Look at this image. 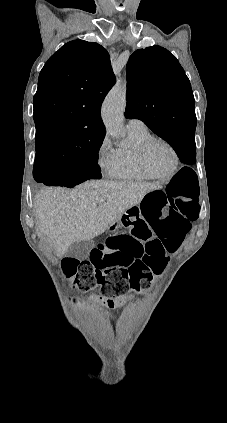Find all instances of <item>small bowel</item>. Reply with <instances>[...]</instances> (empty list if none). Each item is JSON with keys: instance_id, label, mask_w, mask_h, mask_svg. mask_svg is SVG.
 Segmentation results:
<instances>
[{"instance_id": "obj_1", "label": "small bowel", "mask_w": 227, "mask_h": 423, "mask_svg": "<svg viewBox=\"0 0 227 423\" xmlns=\"http://www.w3.org/2000/svg\"><path fill=\"white\" fill-rule=\"evenodd\" d=\"M137 221L148 226L147 221L143 217L139 218ZM148 228H150V227L148 226ZM130 298H131V295H126V296H123V297H115V298H108V297H105V296L94 297L95 300L101 302L104 306H106L108 308H114V307L121 306Z\"/></svg>"}]
</instances>
